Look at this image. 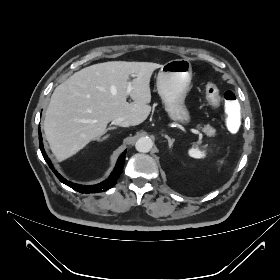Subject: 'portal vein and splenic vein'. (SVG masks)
Returning <instances> with one entry per match:
<instances>
[{"label":"portal vein and splenic vein","mask_w":280,"mask_h":280,"mask_svg":"<svg viewBox=\"0 0 280 280\" xmlns=\"http://www.w3.org/2000/svg\"><path fill=\"white\" fill-rule=\"evenodd\" d=\"M135 76V75H133ZM133 90V87H132V84L131 82L129 81L128 82V86H127V89H126V94L129 95L131 93V91ZM191 131L195 134H198V135H201L200 131L196 130V129H191Z\"/></svg>","instance_id":"portal-vein-and-splenic-vein-1"}]
</instances>
